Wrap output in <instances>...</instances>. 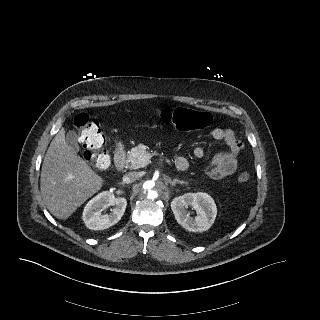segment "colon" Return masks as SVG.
Returning <instances> with one entry per match:
<instances>
[{"instance_id":"5ec220e1","label":"colon","mask_w":320,"mask_h":320,"mask_svg":"<svg viewBox=\"0 0 320 320\" xmlns=\"http://www.w3.org/2000/svg\"><path fill=\"white\" fill-rule=\"evenodd\" d=\"M161 118L180 131L204 130L213 122V117L209 112L185 107L164 110L161 113ZM74 126L80 133L85 149V158L98 170L108 169L111 160L105 148L106 139L99 121L83 113L74 119ZM237 180L241 184L247 183L250 180V175L247 172H242L238 175Z\"/></svg>"}]
</instances>
